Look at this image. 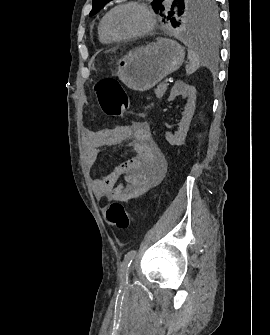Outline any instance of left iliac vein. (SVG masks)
I'll list each match as a JSON object with an SVG mask.
<instances>
[{
    "label": "left iliac vein",
    "instance_id": "1",
    "mask_svg": "<svg viewBox=\"0 0 270 335\" xmlns=\"http://www.w3.org/2000/svg\"><path fill=\"white\" fill-rule=\"evenodd\" d=\"M131 269H132V267H130V268L128 269V273H130Z\"/></svg>",
    "mask_w": 270,
    "mask_h": 335
}]
</instances>
